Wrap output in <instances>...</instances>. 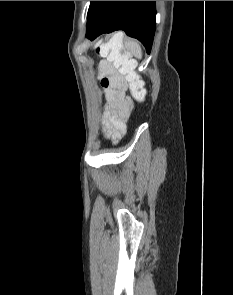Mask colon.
I'll list each match as a JSON object with an SVG mask.
<instances>
[{
    "label": "colon",
    "instance_id": "1",
    "mask_svg": "<svg viewBox=\"0 0 233 295\" xmlns=\"http://www.w3.org/2000/svg\"><path fill=\"white\" fill-rule=\"evenodd\" d=\"M123 41L122 35L115 34L97 45L96 51L104 59L101 65V86L107 92H120L128 81L133 97L141 102L146 96L145 83L134 72L135 62L124 49Z\"/></svg>",
    "mask_w": 233,
    "mask_h": 295
}]
</instances>
